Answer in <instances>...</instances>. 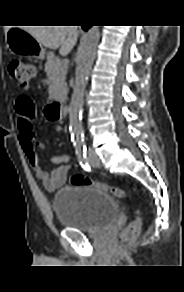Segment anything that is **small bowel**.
<instances>
[{
	"label": "small bowel",
	"instance_id": "obj_1",
	"mask_svg": "<svg viewBox=\"0 0 184 292\" xmlns=\"http://www.w3.org/2000/svg\"><path fill=\"white\" fill-rule=\"evenodd\" d=\"M18 139L30 168L44 187L48 191H55L63 186L70 170L69 155H53L50 161L56 166L51 171H47L41 167L39 162L37 148H42V144L37 141L33 126L24 128L19 124Z\"/></svg>",
	"mask_w": 184,
	"mask_h": 292
}]
</instances>
